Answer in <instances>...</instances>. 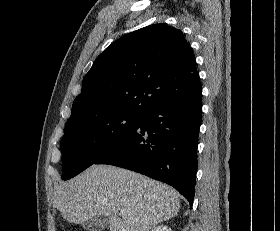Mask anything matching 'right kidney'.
Listing matches in <instances>:
<instances>
[{"label": "right kidney", "instance_id": "obj_1", "mask_svg": "<svg viewBox=\"0 0 280 231\" xmlns=\"http://www.w3.org/2000/svg\"><path fill=\"white\" fill-rule=\"evenodd\" d=\"M152 231H171V229L168 225H157V227H154Z\"/></svg>", "mask_w": 280, "mask_h": 231}]
</instances>
